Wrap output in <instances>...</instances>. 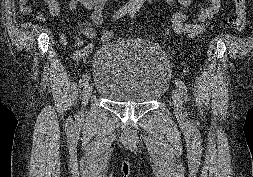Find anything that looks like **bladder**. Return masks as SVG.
Wrapping results in <instances>:
<instances>
[{
  "mask_svg": "<svg viewBox=\"0 0 253 177\" xmlns=\"http://www.w3.org/2000/svg\"><path fill=\"white\" fill-rule=\"evenodd\" d=\"M92 73L96 92L114 103H151L162 97L170 66L157 45L110 41L96 54Z\"/></svg>",
  "mask_w": 253,
  "mask_h": 177,
  "instance_id": "1",
  "label": "bladder"
}]
</instances>
